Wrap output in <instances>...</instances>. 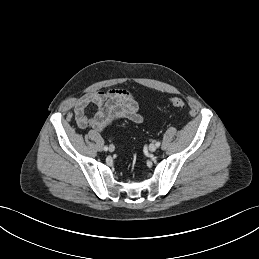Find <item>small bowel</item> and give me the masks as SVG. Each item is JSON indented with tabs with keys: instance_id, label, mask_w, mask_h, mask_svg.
<instances>
[{
	"instance_id": "1",
	"label": "small bowel",
	"mask_w": 259,
	"mask_h": 259,
	"mask_svg": "<svg viewBox=\"0 0 259 259\" xmlns=\"http://www.w3.org/2000/svg\"><path fill=\"white\" fill-rule=\"evenodd\" d=\"M90 105L97 107V112L92 117L86 114ZM74 113L80 128L89 127L100 133H105L107 127L118 120L124 119L133 123L143 121L136 99L125 89L88 93L75 101Z\"/></svg>"
}]
</instances>
